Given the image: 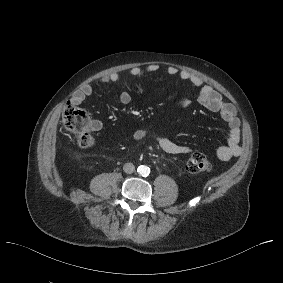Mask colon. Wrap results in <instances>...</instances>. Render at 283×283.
I'll list each match as a JSON object with an SVG mask.
<instances>
[{"instance_id":"1","label":"colon","mask_w":283,"mask_h":283,"mask_svg":"<svg viewBox=\"0 0 283 283\" xmlns=\"http://www.w3.org/2000/svg\"><path fill=\"white\" fill-rule=\"evenodd\" d=\"M62 123L67 131L74 134L79 146L89 148L93 145V138L86 131L89 117L84 110L68 102L63 110ZM184 166L191 173L208 172L212 169V163L202 153L192 154L185 160Z\"/></svg>"}]
</instances>
